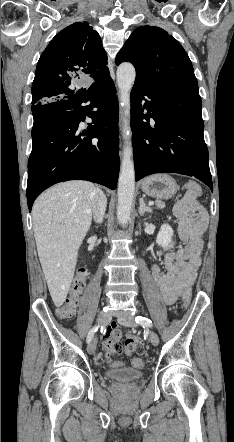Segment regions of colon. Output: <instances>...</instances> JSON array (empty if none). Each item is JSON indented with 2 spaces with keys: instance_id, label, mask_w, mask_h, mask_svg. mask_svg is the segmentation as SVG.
Listing matches in <instances>:
<instances>
[{
  "instance_id": "colon-1",
  "label": "colon",
  "mask_w": 234,
  "mask_h": 442,
  "mask_svg": "<svg viewBox=\"0 0 234 442\" xmlns=\"http://www.w3.org/2000/svg\"><path fill=\"white\" fill-rule=\"evenodd\" d=\"M186 189L189 193L193 195H198L201 193V186L197 182H188L186 184ZM88 277V271L86 268H81L75 277L69 298L65 301L63 305H61L57 310V315L62 319L71 318L75 314V310L78 304V296L83 291L86 280ZM182 300L184 305H188L191 300V290L186 288L182 295ZM142 342V341H141ZM116 352L112 349L106 350L104 353L99 352L96 355L97 360L103 361L110 365L113 372L119 373L125 370V362L121 360L120 357H114ZM134 365L133 368L136 371L141 370L143 366V361L141 357L136 356L133 359Z\"/></svg>"
}]
</instances>
